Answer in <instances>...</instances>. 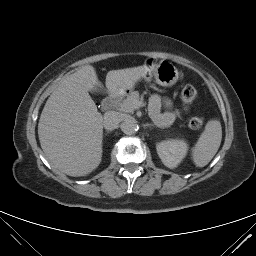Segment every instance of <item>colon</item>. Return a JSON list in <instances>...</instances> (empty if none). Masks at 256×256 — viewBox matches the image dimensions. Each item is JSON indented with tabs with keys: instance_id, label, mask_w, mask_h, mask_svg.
I'll list each match as a JSON object with an SVG mask.
<instances>
[{
	"instance_id": "colon-1",
	"label": "colon",
	"mask_w": 256,
	"mask_h": 256,
	"mask_svg": "<svg viewBox=\"0 0 256 256\" xmlns=\"http://www.w3.org/2000/svg\"><path fill=\"white\" fill-rule=\"evenodd\" d=\"M197 96H198L197 90L191 85L184 87L183 90L181 91V100L183 104L186 106L194 102ZM203 124H204V119L199 116L192 117L188 120V126L191 129H200L203 126Z\"/></svg>"
}]
</instances>
